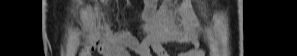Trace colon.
I'll list each match as a JSON object with an SVG mask.
<instances>
[{"mask_svg": "<svg viewBox=\"0 0 297 56\" xmlns=\"http://www.w3.org/2000/svg\"><path fill=\"white\" fill-rule=\"evenodd\" d=\"M96 44H98V41H97V40L91 42V45H92V46H95Z\"/></svg>", "mask_w": 297, "mask_h": 56, "instance_id": "5ec220e1", "label": "colon"}]
</instances>
